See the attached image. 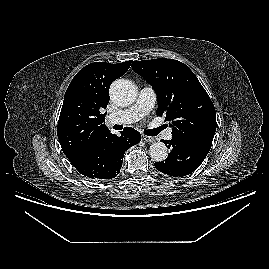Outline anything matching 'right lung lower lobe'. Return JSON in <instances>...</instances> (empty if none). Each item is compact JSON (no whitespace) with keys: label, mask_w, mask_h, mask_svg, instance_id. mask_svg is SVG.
<instances>
[{"label":"right lung lower lobe","mask_w":269,"mask_h":269,"mask_svg":"<svg viewBox=\"0 0 269 269\" xmlns=\"http://www.w3.org/2000/svg\"><path fill=\"white\" fill-rule=\"evenodd\" d=\"M140 140L141 135L137 130L126 127L120 137L110 134L105 140L70 162L79 173L88 178L112 179L120 172L124 153Z\"/></svg>","instance_id":"1"}]
</instances>
